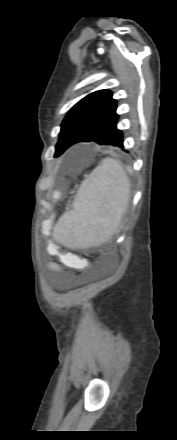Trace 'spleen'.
Segmentation results:
<instances>
[{
    "label": "spleen",
    "mask_w": 177,
    "mask_h": 440,
    "mask_svg": "<svg viewBox=\"0 0 177 440\" xmlns=\"http://www.w3.org/2000/svg\"><path fill=\"white\" fill-rule=\"evenodd\" d=\"M129 179L115 159L105 158L82 183L73 210L59 219L54 239L63 246L84 248L98 245L114 235L126 211Z\"/></svg>",
    "instance_id": "1"
}]
</instances>
